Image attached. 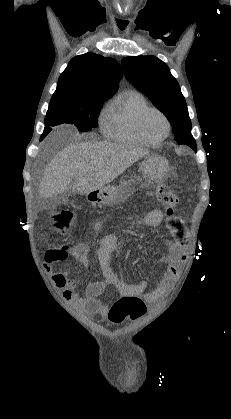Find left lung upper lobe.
Masks as SVG:
<instances>
[{
	"label": "left lung upper lobe",
	"instance_id": "left-lung-upper-lobe-1",
	"mask_svg": "<svg viewBox=\"0 0 231 419\" xmlns=\"http://www.w3.org/2000/svg\"><path fill=\"white\" fill-rule=\"evenodd\" d=\"M122 68L126 79L167 117L175 140L196 152L186 101L168 66L155 56H130L122 59Z\"/></svg>",
	"mask_w": 231,
	"mask_h": 419
}]
</instances>
